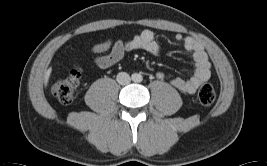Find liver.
<instances>
[{
    "instance_id": "obj_1",
    "label": "liver",
    "mask_w": 267,
    "mask_h": 166,
    "mask_svg": "<svg viewBox=\"0 0 267 166\" xmlns=\"http://www.w3.org/2000/svg\"><path fill=\"white\" fill-rule=\"evenodd\" d=\"M52 68H49L46 72H45V76H44V84L45 86H47L48 84V80L51 74Z\"/></svg>"
}]
</instances>
